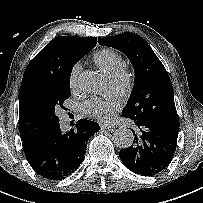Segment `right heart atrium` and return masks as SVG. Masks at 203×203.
I'll list each match as a JSON object with an SVG mask.
<instances>
[{
    "instance_id": "d8ad5b80",
    "label": "right heart atrium",
    "mask_w": 203,
    "mask_h": 203,
    "mask_svg": "<svg viewBox=\"0 0 203 203\" xmlns=\"http://www.w3.org/2000/svg\"><path fill=\"white\" fill-rule=\"evenodd\" d=\"M81 70L82 65L79 62L75 63L70 70L69 86L73 91H75L78 88Z\"/></svg>"
}]
</instances>
